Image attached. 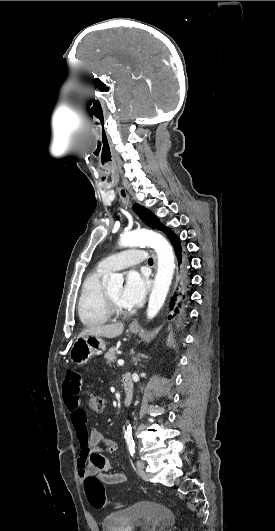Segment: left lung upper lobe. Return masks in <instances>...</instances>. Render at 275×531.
Wrapping results in <instances>:
<instances>
[{"instance_id": "obj_1", "label": "left lung upper lobe", "mask_w": 275, "mask_h": 531, "mask_svg": "<svg viewBox=\"0 0 275 531\" xmlns=\"http://www.w3.org/2000/svg\"><path fill=\"white\" fill-rule=\"evenodd\" d=\"M133 209L139 215L140 219H142V221L149 227L158 229L163 232L167 228L151 211L142 207L141 205L135 204Z\"/></svg>"}]
</instances>
